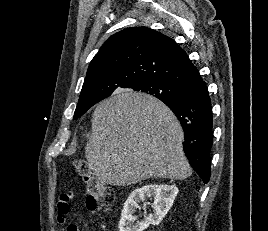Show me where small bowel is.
Listing matches in <instances>:
<instances>
[{"mask_svg":"<svg viewBox=\"0 0 268 231\" xmlns=\"http://www.w3.org/2000/svg\"><path fill=\"white\" fill-rule=\"evenodd\" d=\"M70 195H61L58 202V210L56 220L57 223L66 228V231H80V228L77 224L69 221V212H70Z\"/></svg>","mask_w":268,"mask_h":231,"instance_id":"small-bowel-1","label":"small bowel"}]
</instances>
